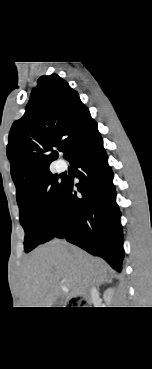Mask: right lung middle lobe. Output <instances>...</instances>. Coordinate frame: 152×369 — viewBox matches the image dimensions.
Returning <instances> with one entry per match:
<instances>
[{
    "instance_id": "obj_1",
    "label": "right lung middle lobe",
    "mask_w": 152,
    "mask_h": 369,
    "mask_svg": "<svg viewBox=\"0 0 152 369\" xmlns=\"http://www.w3.org/2000/svg\"><path fill=\"white\" fill-rule=\"evenodd\" d=\"M51 172L27 188L18 198L20 223L25 230V252L50 240L58 223V207L65 180Z\"/></svg>"
}]
</instances>
